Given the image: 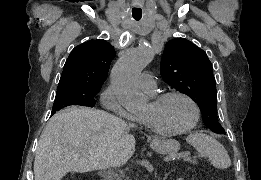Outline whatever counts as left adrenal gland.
<instances>
[{
	"instance_id": "1",
	"label": "left adrenal gland",
	"mask_w": 261,
	"mask_h": 180,
	"mask_svg": "<svg viewBox=\"0 0 261 180\" xmlns=\"http://www.w3.org/2000/svg\"><path fill=\"white\" fill-rule=\"evenodd\" d=\"M168 176H169V174H164L163 180H167Z\"/></svg>"
}]
</instances>
